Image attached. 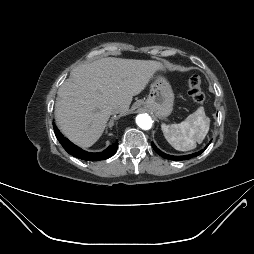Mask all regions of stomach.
<instances>
[{
  "label": "stomach",
  "instance_id": "0dacf381",
  "mask_svg": "<svg viewBox=\"0 0 254 254\" xmlns=\"http://www.w3.org/2000/svg\"><path fill=\"white\" fill-rule=\"evenodd\" d=\"M174 93L169 82L158 75L151 83L150 92L144 106L152 111L158 118H164L173 110Z\"/></svg>",
  "mask_w": 254,
  "mask_h": 254
}]
</instances>
